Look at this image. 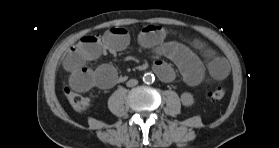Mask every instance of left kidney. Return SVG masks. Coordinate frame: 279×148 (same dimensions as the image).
I'll return each mask as SVG.
<instances>
[{"mask_svg": "<svg viewBox=\"0 0 279 148\" xmlns=\"http://www.w3.org/2000/svg\"><path fill=\"white\" fill-rule=\"evenodd\" d=\"M181 102L184 106L189 107L194 104V98L191 93L184 92L181 94Z\"/></svg>", "mask_w": 279, "mask_h": 148, "instance_id": "obj_1", "label": "left kidney"}]
</instances>
